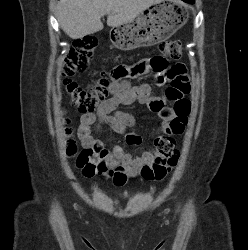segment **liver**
Returning <instances> with one entry per match:
<instances>
[{"instance_id":"6515ba94","label":"liver","mask_w":248,"mask_h":250,"mask_svg":"<svg viewBox=\"0 0 248 250\" xmlns=\"http://www.w3.org/2000/svg\"><path fill=\"white\" fill-rule=\"evenodd\" d=\"M162 0H60L58 21L71 38H82L103 29L101 17L107 25L117 27L134 20L137 15Z\"/></svg>"}]
</instances>
